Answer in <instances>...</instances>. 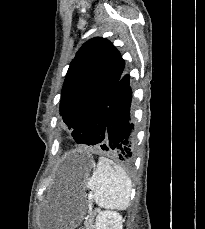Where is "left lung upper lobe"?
I'll return each mask as SVG.
<instances>
[{"mask_svg": "<svg viewBox=\"0 0 205 229\" xmlns=\"http://www.w3.org/2000/svg\"><path fill=\"white\" fill-rule=\"evenodd\" d=\"M124 67L115 46L99 37L84 43L70 63L60 114L78 144L96 145L89 138V130L102 126L108 101Z\"/></svg>", "mask_w": 205, "mask_h": 229, "instance_id": "1", "label": "left lung upper lobe"}]
</instances>
